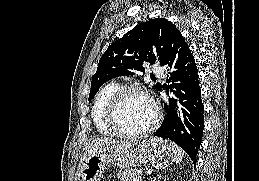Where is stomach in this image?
Wrapping results in <instances>:
<instances>
[{
  "label": "stomach",
  "mask_w": 259,
  "mask_h": 181,
  "mask_svg": "<svg viewBox=\"0 0 259 181\" xmlns=\"http://www.w3.org/2000/svg\"><path fill=\"white\" fill-rule=\"evenodd\" d=\"M173 160L166 140L151 137L124 150H90L81 158L75 181H100L105 170L118 166L129 168L136 164L163 169Z\"/></svg>",
  "instance_id": "1"
}]
</instances>
